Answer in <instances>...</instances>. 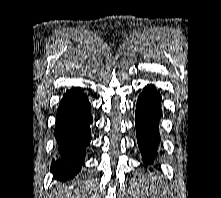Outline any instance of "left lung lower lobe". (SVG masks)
<instances>
[{
    "label": "left lung lower lobe",
    "mask_w": 221,
    "mask_h": 198,
    "mask_svg": "<svg viewBox=\"0 0 221 198\" xmlns=\"http://www.w3.org/2000/svg\"><path fill=\"white\" fill-rule=\"evenodd\" d=\"M161 95L153 85H148L139 95L135 116L137 141L145 164H150L157 154L160 134L158 123L162 116Z\"/></svg>",
    "instance_id": "obj_1"
}]
</instances>
